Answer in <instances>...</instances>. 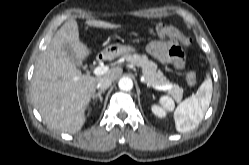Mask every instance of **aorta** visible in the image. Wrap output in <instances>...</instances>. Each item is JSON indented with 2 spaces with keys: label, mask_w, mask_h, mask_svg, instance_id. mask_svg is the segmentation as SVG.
<instances>
[{
  "label": "aorta",
  "mask_w": 249,
  "mask_h": 165,
  "mask_svg": "<svg viewBox=\"0 0 249 165\" xmlns=\"http://www.w3.org/2000/svg\"><path fill=\"white\" fill-rule=\"evenodd\" d=\"M118 86L123 91H129L133 88V81L129 77H122L118 82Z\"/></svg>",
  "instance_id": "aorta-1"
}]
</instances>
